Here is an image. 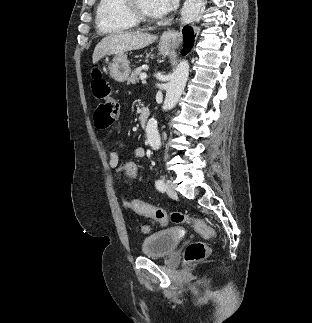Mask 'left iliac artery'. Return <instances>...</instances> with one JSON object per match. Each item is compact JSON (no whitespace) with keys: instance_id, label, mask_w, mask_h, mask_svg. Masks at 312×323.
<instances>
[{"instance_id":"obj_1","label":"left iliac artery","mask_w":312,"mask_h":323,"mask_svg":"<svg viewBox=\"0 0 312 323\" xmlns=\"http://www.w3.org/2000/svg\"><path fill=\"white\" fill-rule=\"evenodd\" d=\"M155 186L158 190H165V184L163 182V180L161 179H158L156 182H155Z\"/></svg>"}]
</instances>
